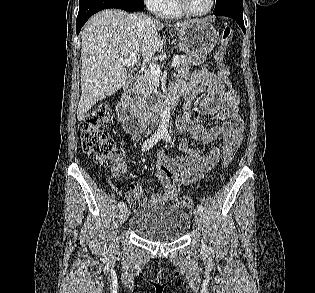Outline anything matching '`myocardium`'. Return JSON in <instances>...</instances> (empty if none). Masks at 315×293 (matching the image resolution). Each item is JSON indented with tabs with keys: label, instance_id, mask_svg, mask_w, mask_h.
I'll return each instance as SVG.
<instances>
[{
	"label": "myocardium",
	"instance_id": "myocardium-1",
	"mask_svg": "<svg viewBox=\"0 0 315 293\" xmlns=\"http://www.w3.org/2000/svg\"><path fill=\"white\" fill-rule=\"evenodd\" d=\"M175 1V5L177 7V9L186 16L189 17H202L205 16L207 14H209L212 9L214 8L215 5V0H210L209 6L206 10L202 11V12H193L191 10L188 9L185 0H174Z\"/></svg>",
	"mask_w": 315,
	"mask_h": 293
}]
</instances>
